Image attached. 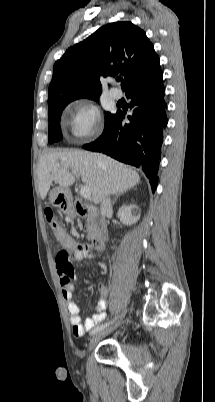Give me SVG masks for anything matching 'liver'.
Masks as SVG:
<instances>
[{
    "instance_id": "6515ba94",
    "label": "liver",
    "mask_w": 215,
    "mask_h": 402,
    "mask_svg": "<svg viewBox=\"0 0 215 402\" xmlns=\"http://www.w3.org/2000/svg\"><path fill=\"white\" fill-rule=\"evenodd\" d=\"M70 170L78 173L83 183L90 188L95 204L105 195L119 194L139 181V174L109 156L86 151H53L42 155L38 165V186L42 200L47 196L52 182L68 189L75 177Z\"/></svg>"
}]
</instances>
